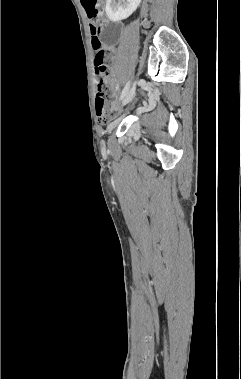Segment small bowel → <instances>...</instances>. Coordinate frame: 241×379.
Wrapping results in <instances>:
<instances>
[{"label": "small bowel", "instance_id": "c3829d8e", "mask_svg": "<svg viewBox=\"0 0 241 379\" xmlns=\"http://www.w3.org/2000/svg\"><path fill=\"white\" fill-rule=\"evenodd\" d=\"M106 81L113 87H116L117 86V83L115 80H113L108 74L106 76Z\"/></svg>", "mask_w": 241, "mask_h": 379}]
</instances>
